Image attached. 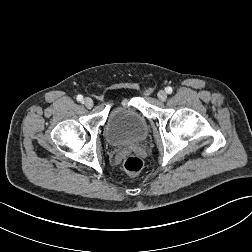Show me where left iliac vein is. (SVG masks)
<instances>
[{
  "label": "left iliac vein",
  "instance_id": "obj_1",
  "mask_svg": "<svg viewBox=\"0 0 252 252\" xmlns=\"http://www.w3.org/2000/svg\"><path fill=\"white\" fill-rule=\"evenodd\" d=\"M157 96L160 101H165L167 99V93L164 90H160Z\"/></svg>",
  "mask_w": 252,
  "mask_h": 252
}]
</instances>
